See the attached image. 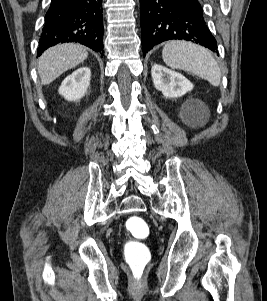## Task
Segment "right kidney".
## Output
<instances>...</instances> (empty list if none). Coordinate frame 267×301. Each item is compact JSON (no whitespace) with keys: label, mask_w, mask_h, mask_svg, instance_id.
Instances as JSON below:
<instances>
[{"label":"right kidney","mask_w":267,"mask_h":301,"mask_svg":"<svg viewBox=\"0 0 267 301\" xmlns=\"http://www.w3.org/2000/svg\"><path fill=\"white\" fill-rule=\"evenodd\" d=\"M91 71L88 67H81L67 76L59 87L61 94L68 101L81 99L90 85Z\"/></svg>","instance_id":"ca27d5eb"}]
</instances>
